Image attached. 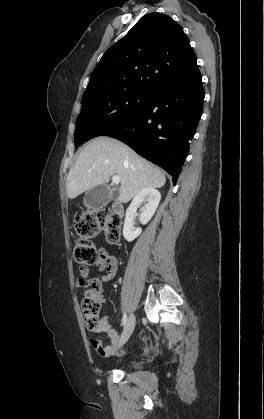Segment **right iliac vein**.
Returning a JSON list of instances; mask_svg holds the SVG:
<instances>
[{"label":"right iliac vein","mask_w":264,"mask_h":419,"mask_svg":"<svg viewBox=\"0 0 264 419\" xmlns=\"http://www.w3.org/2000/svg\"><path fill=\"white\" fill-rule=\"evenodd\" d=\"M135 316L131 314L125 324L124 330L121 335L120 344L123 345L131 336L135 327Z\"/></svg>","instance_id":"1"}]
</instances>
